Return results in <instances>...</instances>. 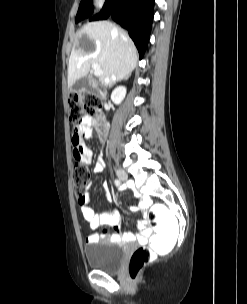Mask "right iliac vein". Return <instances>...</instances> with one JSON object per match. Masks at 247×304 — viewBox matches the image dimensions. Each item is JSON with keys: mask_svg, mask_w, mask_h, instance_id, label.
Masks as SVG:
<instances>
[{"mask_svg": "<svg viewBox=\"0 0 247 304\" xmlns=\"http://www.w3.org/2000/svg\"><path fill=\"white\" fill-rule=\"evenodd\" d=\"M116 174H117L120 181H122V182L127 181L128 175L123 169L117 168L116 169Z\"/></svg>", "mask_w": 247, "mask_h": 304, "instance_id": "63e3f726", "label": "right iliac vein"}]
</instances>
